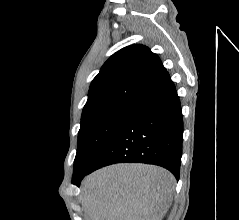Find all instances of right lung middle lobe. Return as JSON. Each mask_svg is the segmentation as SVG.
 <instances>
[{"label":"right lung middle lobe","instance_id":"dd1d6c3e","mask_svg":"<svg viewBox=\"0 0 239 220\" xmlns=\"http://www.w3.org/2000/svg\"><path fill=\"white\" fill-rule=\"evenodd\" d=\"M130 108L131 105H119L81 119L73 180L86 175Z\"/></svg>","mask_w":239,"mask_h":220}]
</instances>
